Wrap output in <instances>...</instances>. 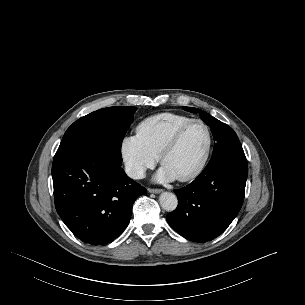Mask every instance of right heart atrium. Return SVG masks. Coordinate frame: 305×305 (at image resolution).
I'll return each mask as SVG.
<instances>
[{
    "label": "right heart atrium",
    "mask_w": 305,
    "mask_h": 305,
    "mask_svg": "<svg viewBox=\"0 0 305 305\" xmlns=\"http://www.w3.org/2000/svg\"><path fill=\"white\" fill-rule=\"evenodd\" d=\"M120 152L127 173L135 179L142 178L158 160L157 156L147 148L138 135L124 137Z\"/></svg>",
    "instance_id": "right-heart-atrium-1"
}]
</instances>
